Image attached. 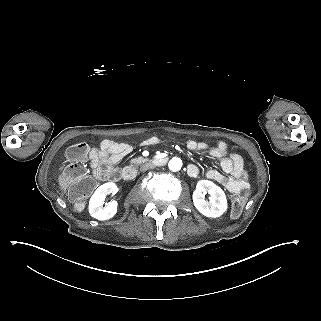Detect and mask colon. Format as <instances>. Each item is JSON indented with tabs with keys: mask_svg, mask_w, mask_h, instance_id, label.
<instances>
[{
	"mask_svg": "<svg viewBox=\"0 0 321 321\" xmlns=\"http://www.w3.org/2000/svg\"><path fill=\"white\" fill-rule=\"evenodd\" d=\"M91 148L86 143H77L68 148L65 154V164L63 166V176L67 182L71 198L75 207L81 209L86 198L94 188L92 178L83 167L90 154ZM249 190L244 189L241 194L232 198L231 213L233 217H238L244 208Z\"/></svg>",
	"mask_w": 321,
	"mask_h": 321,
	"instance_id": "1",
	"label": "colon"
}]
</instances>
